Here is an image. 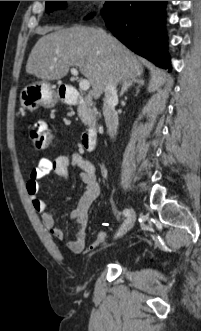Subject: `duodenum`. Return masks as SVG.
<instances>
[{
	"label": "duodenum",
	"instance_id": "duodenum-1",
	"mask_svg": "<svg viewBox=\"0 0 201 331\" xmlns=\"http://www.w3.org/2000/svg\"><path fill=\"white\" fill-rule=\"evenodd\" d=\"M58 96L64 102L71 105H78L81 108H86L87 100L79 94L73 86H61L57 89ZM97 131L94 125H90L82 134L81 145L89 152L96 148Z\"/></svg>",
	"mask_w": 201,
	"mask_h": 331
}]
</instances>
